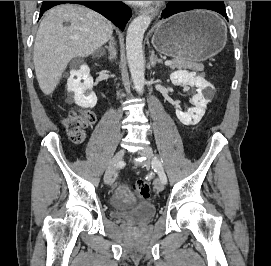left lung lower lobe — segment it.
<instances>
[{
    "label": "left lung lower lobe",
    "instance_id": "0a47b994",
    "mask_svg": "<svg viewBox=\"0 0 271 266\" xmlns=\"http://www.w3.org/2000/svg\"><path fill=\"white\" fill-rule=\"evenodd\" d=\"M192 9H207L220 13L227 20L226 10L223 7L216 6L211 3H205L204 1H170L165 10L162 12V18H168L176 13L189 11Z\"/></svg>",
    "mask_w": 271,
    "mask_h": 266
}]
</instances>
